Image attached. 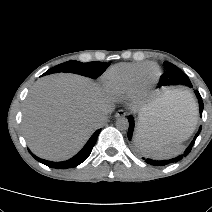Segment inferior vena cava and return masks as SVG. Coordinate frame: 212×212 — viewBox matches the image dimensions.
<instances>
[{"mask_svg": "<svg viewBox=\"0 0 212 212\" xmlns=\"http://www.w3.org/2000/svg\"><path fill=\"white\" fill-rule=\"evenodd\" d=\"M107 115L99 116L94 120V123L97 127L103 125L106 122Z\"/></svg>", "mask_w": 212, "mask_h": 212, "instance_id": "602c4592", "label": "inferior vena cava"}]
</instances>
